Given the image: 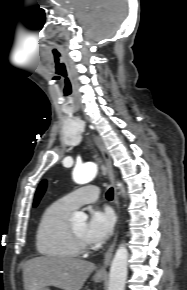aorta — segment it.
<instances>
[{"instance_id": "762f6f07", "label": "aorta", "mask_w": 187, "mask_h": 290, "mask_svg": "<svg viewBox=\"0 0 187 290\" xmlns=\"http://www.w3.org/2000/svg\"><path fill=\"white\" fill-rule=\"evenodd\" d=\"M98 173V168L95 163H86L74 169L73 180L77 184H86L92 181ZM87 215L84 212L74 213L76 222L84 223L87 220ZM128 251L124 244H121L111 263L109 273L108 290H124L127 278Z\"/></svg>"}]
</instances>
